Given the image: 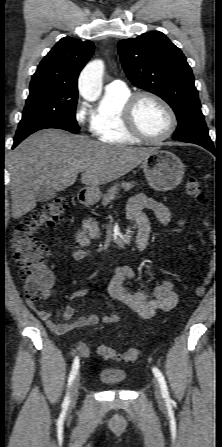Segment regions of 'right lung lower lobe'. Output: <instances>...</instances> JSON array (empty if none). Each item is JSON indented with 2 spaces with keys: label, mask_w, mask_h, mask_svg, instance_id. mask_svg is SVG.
<instances>
[{
  "label": "right lung lower lobe",
  "mask_w": 222,
  "mask_h": 447,
  "mask_svg": "<svg viewBox=\"0 0 222 447\" xmlns=\"http://www.w3.org/2000/svg\"><path fill=\"white\" fill-rule=\"evenodd\" d=\"M19 143H17V142H14V145H13V147H15L16 145H18Z\"/></svg>",
  "instance_id": "98d812e1"
}]
</instances>
